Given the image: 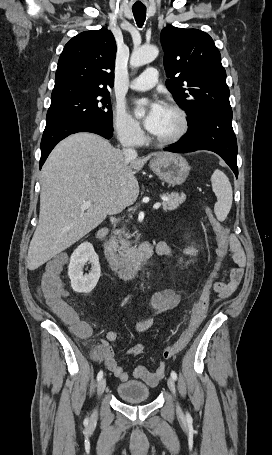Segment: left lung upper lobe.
<instances>
[{"label": "left lung upper lobe", "instance_id": "5c2ea615", "mask_svg": "<svg viewBox=\"0 0 272 455\" xmlns=\"http://www.w3.org/2000/svg\"><path fill=\"white\" fill-rule=\"evenodd\" d=\"M166 86L185 110L188 123L214 111L231 110L226 71L213 39L198 29L161 31Z\"/></svg>", "mask_w": 272, "mask_h": 455}]
</instances>
